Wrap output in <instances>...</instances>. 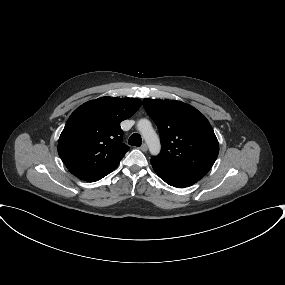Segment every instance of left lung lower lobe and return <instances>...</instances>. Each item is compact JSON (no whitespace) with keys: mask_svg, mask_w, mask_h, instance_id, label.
<instances>
[{"mask_svg":"<svg viewBox=\"0 0 285 285\" xmlns=\"http://www.w3.org/2000/svg\"><path fill=\"white\" fill-rule=\"evenodd\" d=\"M154 171L167 184L174 187H188L205 175L181 167H171L155 158L151 159Z\"/></svg>","mask_w":285,"mask_h":285,"instance_id":"1","label":"left lung lower lobe"}]
</instances>
